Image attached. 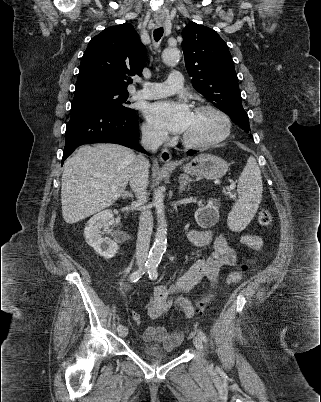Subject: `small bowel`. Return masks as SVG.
<instances>
[{
	"label": "small bowel",
	"instance_id": "obj_1",
	"mask_svg": "<svg viewBox=\"0 0 321 402\" xmlns=\"http://www.w3.org/2000/svg\"><path fill=\"white\" fill-rule=\"evenodd\" d=\"M187 237L195 246L212 244L213 251L207 256L198 258L172 284H161L154 287L152 300L147 307L148 316L151 319H160L171 308H177L186 318L192 317L194 309L191 301L179 294L192 289L203 278L209 279L211 284L215 286L220 269L236 263V253L223 235H215L209 230L190 229L187 232ZM240 241L255 251L262 249V239L257 235L244 234ZM241 278V275L232 273L227 282L237 283ZM122 287L128 289L130 285L124 282ZM143 338L146 342H158L164 348L172 349L183 342L184 334L181 331L169 333L163 326L152 325L144 330Z\"/></svg>",
	"mask_w": 321,
	"mask_h": 402
}]
</instances>
